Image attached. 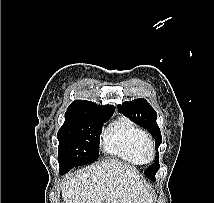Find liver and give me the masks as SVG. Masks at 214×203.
I'll return each mask as SVG.
<instances>
[{"mask_svg": "<svg viewBox=\"0 0 214 203\" xmlns=\"http://www.w3.org/2000/svg\"><path fill=\"white\" fill-rule=\"evenodd\" d=\"M65 203H152L150 186L136 169L110 160L92 165L63 182Z\"/></svg>", "mask_w": 214, "mask_h": 203, "instance_id": "6515ba94", "label": "liver"}]
</instances>
